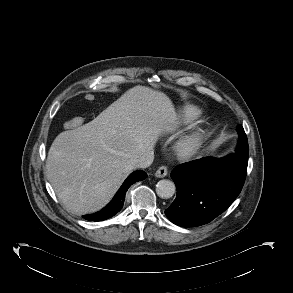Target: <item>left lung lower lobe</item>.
I'll list each match as a JSON object with an SVG mask.
<instances>
[{"instance_id":"1","label":"left lung lower lobe","mask_w":293,"mask_h":293,"mask_svg":"<svg viewBox=\"0 0 293 293\" xmlns=\"http://www.w3.org/2000/svg\"><path fill=\"white\" fill-rule=\"evenodd\" d=\"M236 153L224 158H201L183 163L171 172L177 196L165 210L167 218L182 227L209 223L224 212L243 187L248 164V140L239 135Z\"/></svg>"}]
</instances>
